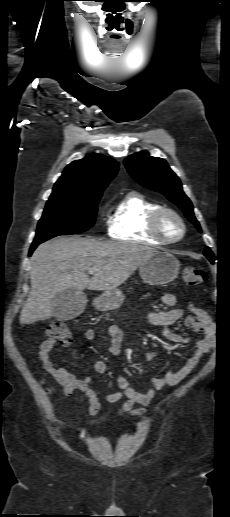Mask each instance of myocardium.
<instances>
[{"label":"myocardium","mask_w":230,"mask_h":517,"mask_svg":"<svg viewBox=\"0 0 230 517\" xmlns=\"http://www.w3.org/2000/svg\"><path fill=\"white\" fill-rule=\"evenodd\" d=\"M166 217L174 218L180 226V231L175 237H169L163 229ZM151 234L164 244H173L179 242L185 235L186 225L182 217L175 210L168 207H161L156 210L149 219Z\"/></svg>","instance_id":"myocardium-1"}]
</instances>
